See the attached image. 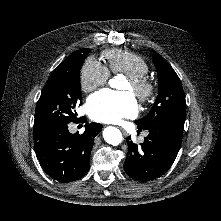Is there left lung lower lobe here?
I'll list each match as a JSON object with an SVG mask.
<instances>
[{"instance_id": "obj_1", "label": "left lung lower lobe", "mask_w": 221, "mask_h": 221, "mask_svg": "<svg viewBox=\"0 0 221 221\" xmlns=\"http://www.w3.org/2000/svg\"><path fill=\"white\" fill-rule=\"evenodd\" d=\"M185 120L170 119L150 126L149 134L139 146L126 138L128 154L124 170L138 180L162 176L173 164L182 141ZM139 130H141L139 128Z\"/></svg>"}]
</instances>
